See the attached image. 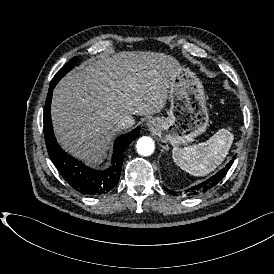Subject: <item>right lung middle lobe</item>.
Returning <instances> with one entry per match:
<instances>
[{"label":"right lung middle lobe","mask_w":274,"mask_h":274,"mask_svg":"<svg viewBox=\"0 0 274 274\" xmlns=\"http://www.w3.org/2000/svg\"><path fill=\"white\" fill-rule=\"evenodd\" d=\"M77 57L72 58L65 66H63L54 76L51 83L56 84L67 72H69L76 64Z\"/></svg>","instance_id":"1"}]
</instances>
